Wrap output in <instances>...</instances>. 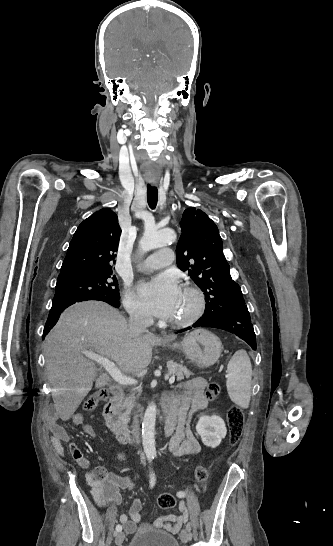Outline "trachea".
<instances>
[{"label":"trachea","mask_w":333,"mask_h":546,"mask_svg":"<svg viewBox=\"0 0 333 546\" xmlns=\"http://www.w3.org/2000/svg\"><path fill=\"white\" fill-rule=\"evenodd\" d=\"M147 201L151 209H154L158 201V190L157 187L147 185Z\"/></svg>","instance_id":"obj_1"}]
</instances>
